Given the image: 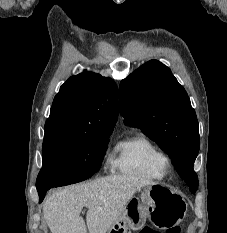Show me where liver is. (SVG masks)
<instances>
[{
	"instance_id": "1",
	"label": "liver",
	"mask_w": 227,
	"mask_h": 233,
	"mask_svg": "<svg viewBox=\"0 0 227 233\" xmlns=\"http://www.w3.org/2000/svg\"><path fill=\"white\" fill-rule=\"evenodd\" d=\"M156 183L137 175H111L51 194L43 215L51 233H106L136 191ZM87 207L86 223L81 217Z\"/></svg>"
}]
</instances>
